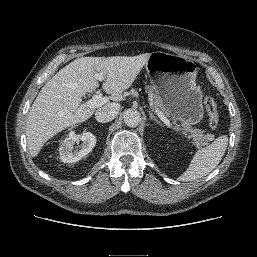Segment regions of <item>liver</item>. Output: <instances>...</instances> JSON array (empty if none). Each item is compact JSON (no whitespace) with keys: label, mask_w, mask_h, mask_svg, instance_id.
<instances>
[{"label":"liver","mask_w":257,"mask_h":257,"mask_svg":"<svg viewBox=\"0 0 257 257\" xmlns=\"http://www.w3.org/2000/svg\"><path fill=\"white\" fill-rule=\"evenodd\" d=\"M150 53L137 56L81 57L59 70L40 90L27 120V145L36 157L44 144L62 130L88 120L92 108H81V98L99 87L95 74L105 77L103 89L110 100H124L122 93L130 88L145 66ZM109 101L102 107L111 105Z\"/></svg>","instance_id":"6515ba94"}]
</instances>
